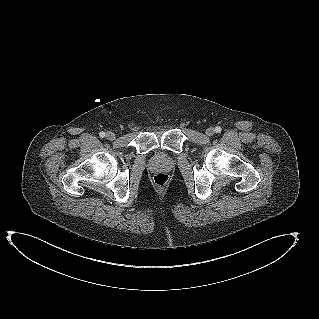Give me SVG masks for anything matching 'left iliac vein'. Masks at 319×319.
Listing matches in <instances>:
<instances>
[{
	"instance_id": "4c4485c4",
	"label": "left iliac vein",
	"mask_w": 319,
	"mask_h": 319,
	"mask_svg": "<svg viewBox=\"0 0 319 319\" xmlns=\"http://www.w3.org/2000/svg\"><path fill=\"white\" fill-rule=\"evenodd\" d=\"M214 133H215V130H214V128H212V127H209V128L206 130V134H207L208 136H212Z\"/></svg>"
}]
</instances>
